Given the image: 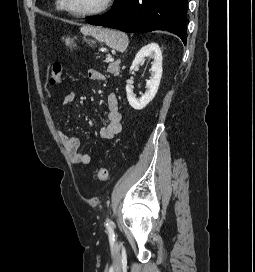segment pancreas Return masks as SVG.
Here are the masks:
<instances>
[{
	"label": "pancreas",
	"instance_id": "obj_1",
	"mask_svg": "<svg viewBox=\"0 0 255 272\" xmlns=\"http://www.w3.org/2000/svg\"><path fill=\"white\" fill-rule=\"evenodd\" d=\"M107 72L114 74L115 76L119 75L120 72V61L110 63L107 69Z\"/></svg>",
	"mask_w": 255,
	"mask_h": 272
}]
</instances>
